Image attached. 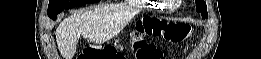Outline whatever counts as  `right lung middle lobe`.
Instances as JSON below:
<instances>
[{"instance_id": "right-lung-middle-lobe-1", "label": "right lung middle lobe", "mask_w": 261, "mask_h": 59, "mask_svg": "<svg viewBox=\"0 0 261 59\" xmlns=\"http://www.w3.org/2000/svg\"><path fill=\"white\" fill-rule=\"evenodd\" d=\"M99 0H50L48 5V16L55 17L65 9H70L85 4L96 3Z\"/></svg>"}]
</instances>
